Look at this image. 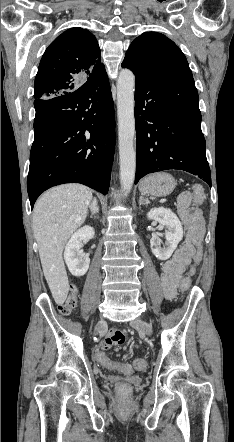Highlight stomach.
Wrapping results in <instances>:
<instances>
[{
  "mask_svg": "<svg viewBox=\"0 0 234 442\" xmlns=\"http://www.w3.org/2000/svg\"><path fill=\"white\" fill-rule=\"evenodd\" d=\"M174 177L166 172L153 173L145 177L139 185L143 194L164 197L172 193L176 187Z\"/></svg>",
  "mask_w": 234,
  "mask_h": 442,
  "instance_id": "obj_1",
  "label": "stomach"
}]
</instances>
